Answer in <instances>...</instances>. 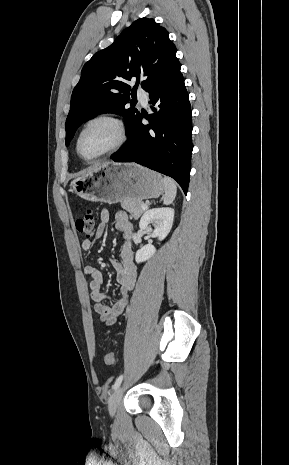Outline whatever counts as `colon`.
Listing matches in <instances>:
<instances>
[{
	"instance_id": "obj_1",
	"label": "colon",
	"mask_w": 289,
	"mask_h": 465,
	"mask_svg": "<svg viewBox=\"0 0 289 465\" xmlns=\"http://www.w3.org/2000/svg\"><path fill=\"white\" fill-rule=\"evenodd\" d=\"M76 230L79 234L86 236L87 238L93 236L95 231V217L91 209H86L82 212L75 220ZM104 362L107 365H113L115 363V354L113 352H107L104 355Z\"/></svg>"
}]
</instances>
